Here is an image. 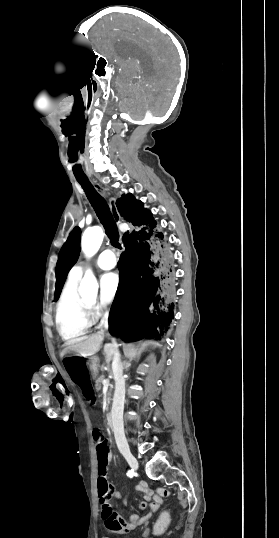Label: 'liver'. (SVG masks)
<instances>
[{
	"label": "liver",
	"mask_w": 279,
	"mask_h": 538,
	"mask_svg": "<svg viewBox=\"0 0 279 538\" xmlns=\"http://www.w3.org/2000/svg\"><path fill=\"white\" fill-rule=\"evenodd\" d=\"M104 340V334H92V336H85L81 342H72V344H66L68 346L66 352H77L80 356H94L100 350V346ZM106 356L113 354V348L110 344H105L103 348Z\"/></svg>",
	"instance_id": "obj_1"
}]
</instances>
